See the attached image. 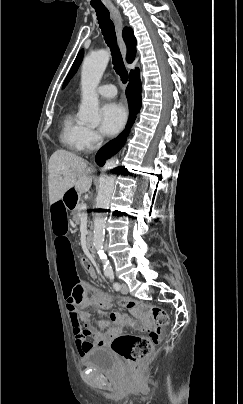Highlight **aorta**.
<instances>
[{
  "label": "aorta",
  "instance_id": "762f6f07",
  "mask_svg": "<svg viewBox=\"0 0 243 404\" xmlns=\"http://www.w3.org/2000/svg\"><path fill=\"white\" fill-rule=\"evenodd\" d=\"M109 60L110 52H107V50H98V52H92L91 56H87L82 64V100L78 118L80 122H85L87 126H93V128L99 126L101 122L96 88L107 68ZM117 168L118 163L114 160L107 161L105 166H102L99 192L94 211L93 246L103 262L104 272H107V270L108 272H112V268L103 252V242L105 236V222L108 217V209L116 181L115 173Z\"/></svg>",
  "mask_w": 243,
  "mask_h": 404
}]
</instances>
